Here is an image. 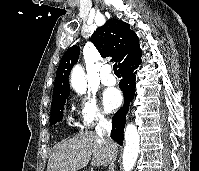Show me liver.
<instances>
[{
    "label": "liver",
    "mask_w": 199,
    "mask_h": 171,
    "mask_svg": "<svg viewBox=\"0 0 199 171\" xmlns=\"http://www.w3.org/2000/svg\"><path fill=\"white\" fill-rule=\"evenodd\" d=\"M118 148L105 143L97 133L81 131L59 144L49 158L47 171H78L91 160L92 166H106L115 160Z\"/></svg>",
    "instance_id": "6515ba94"
}]
</instances>
